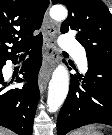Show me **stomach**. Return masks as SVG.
<instances>
[{
  "instance_id": "stomach-1",
  "label": "stomach",
  "mask_w": 112,
  "mask_h": 135,
  "mask_svg": "<svg viewBox=\"0 0 112 135\" xmlns=\"http://www.w3.org/2000/svg\"><path fill=\"white\" fill-rule=\"evenodd\" d=\"M83 132L85 133V135H101L99 131H96L93 128H85Z\"/></svg>"
}]
</instances>
